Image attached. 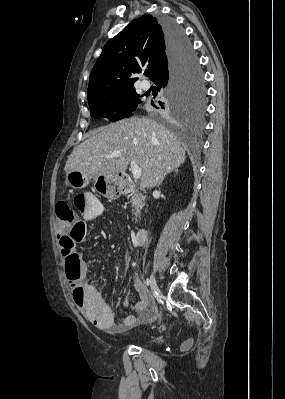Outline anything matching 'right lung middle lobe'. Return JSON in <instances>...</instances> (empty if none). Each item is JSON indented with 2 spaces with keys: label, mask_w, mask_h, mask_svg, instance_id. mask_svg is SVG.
I'll list each match as a JSON object with an SVG mask.
<instances>
[{
  "label": "right lung middle lobe",
  "mask_w": 285,
  "mask_h": 399,
  "mask_svg": "<svg viewBox=\"0 0 285 399\" xmlns=\"http://www.w3.org/2000/svg\"><path fill=\"white\" fill-rule=\"evenodd\" d=\"M135 88L115 95L98 97L88 101L91 117H105L111 122L130 117L132 112L142 104ZM204 86L201 71L193 55L182 79L171 90L166 88V106L157 108L162 115H169L182 122L201 116L204 110Z\"/></svg>",
  "instance_id": "dd1d6c3e"
}]
</instances>
